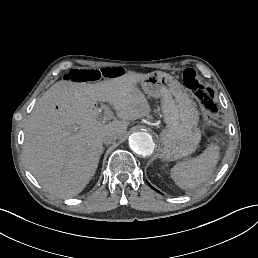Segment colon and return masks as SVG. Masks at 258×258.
<instances>
[{
    "label": "colon",
    "instance_id": "obj_1",
    "mask_svg": "<svg viewBox=\"0 0 258 258\" xmlns=\"http://www.w3.org/2000/svg\"><path fill=\"white\" fill-rule=\"evenodd\" d=\"M121 68H84L72 69L66 75L65 79L76 83H93L102 79H114L121 75ZM184 85L193 93L200 106L208 113L217 112V104L214 98V92L205 86L194 69H186L182 74Z\"/></svg>",
    "mask_w": 258,
    "mask_h": 258
}]
</instances>
